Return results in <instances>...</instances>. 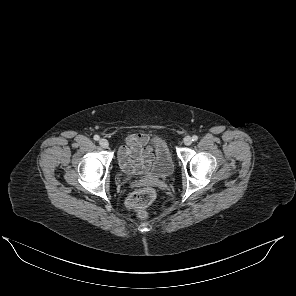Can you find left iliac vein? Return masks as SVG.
<instances>
[{"instance_id":"1","label":"left iliac vein","mask_w":296,"mask_h":296,"mask_svg":"<svg viewBox=\"0 0 296 296\" xmlns=\"http://www.w3.org/2000/svg\"><path fill=\"white\" fill-rule=\"evenodd\" d=\"M184 144L189 146L192 144V138L190 136H186L183 140Z\"/></svg>"}]
</instances>
